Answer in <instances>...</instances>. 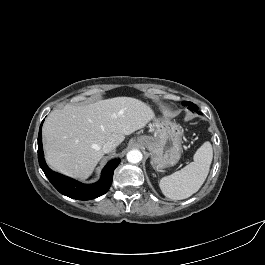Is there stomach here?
I'll use <instances>...</instances> for the list:
<instances>
[{"label":"stomach","instance_id":"0dacf381","mask_svg":"<svg viewBox=\"0 0 265 265\" xmlns=\"http://www.w3.org/2000/svg\"><path fill=\"white\" fill-rule=\"evenodd\" d=\"M153 128V136H140L137 143L149 150L155 169L175 165L181 157L182 128L168 120H155Z\"/></svg>","mask_w":265,"mask_h":265}]
</instances>
